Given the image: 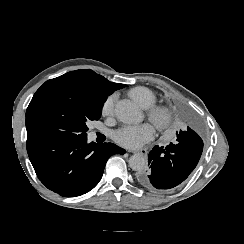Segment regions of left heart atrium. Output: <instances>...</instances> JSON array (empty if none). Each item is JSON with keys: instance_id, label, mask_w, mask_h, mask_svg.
I'll return each mask as SVG.
<instances>
[{"instance_id": "obj_1", "label": "left heart atrium", "mask_w": 244, "mask_h": 244, "mask_svg": "<svg viewBox=\"0 0 244 244\" xmlns=\"http://www.w3.org/2000/svg\"><path fill=\"white\" fill-rule=\"evenodd\" d=\"M156 132L150 124L124 127L114 133V140L127 148L138 149L154 140Z\"/></svg>"}]
</instances>
